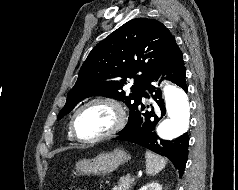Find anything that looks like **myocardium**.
<instances>
[{
  "instance_id": "f54148a6",
  "label": "myocardium",
  "mask_w": 238,
  "mask_h": 190,
  "mask_svg": "<svg viewBox=\"0 0 238 190\" xmlns=\"http://www.w3.org/2000/svg\"><path fill=\"white\" fill-rule=\"evenodd\" d=\"M92 105H104L112 109L115 115V122L110 129H108L106 132L102 134H99L94 137H88V138L81 137L76 130L77 117L84 109ZM127 118L128 117H127L126 109L119 100L112 97H96L86 101L85 103H83L76 109V111L74 112L71 118L70 130L73 137L79 142H83V143L99 142V141L111 138L114 135H116L119 131H121L123 127L126 125Z\"/></svg>"
}]
</instances>
